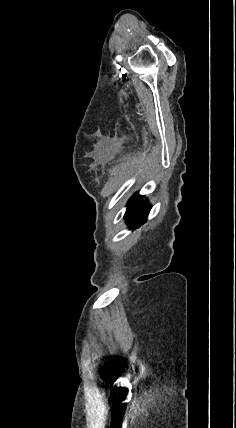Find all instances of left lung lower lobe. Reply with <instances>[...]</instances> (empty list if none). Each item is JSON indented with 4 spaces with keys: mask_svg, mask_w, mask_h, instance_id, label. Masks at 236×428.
<instances>
[{
    "mask_svg": "<svg viewBox=\"0 0 236 428\" xmlns=\"http://www.w3.org/2000/svg\"><path fill=\"white\" fill-rule=\"evenodd\" d=\"M151 206H147V201L143 196L135 193L127 203V210L124 218L129 223V229H136L146 222Z\"/></svg>",
    "mask_w": 236,
    "mask_h": 428,
    "instance_id": "obj_1",
    "label": "left lung lower lobe"
}]
</instances>
